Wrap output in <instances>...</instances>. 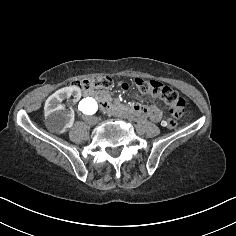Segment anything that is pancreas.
Segmentation results:
<instances>
[{
	"label": "pancreas",
	"instance_id": "1",
	"mask_svg": "<svg viewBox=\"0 0 236 236\" xmlns=\"http://www.w3.org/2000/svg\"><path fill=\"white\" fill-rule=\"evenodd\" d=\"M101 97H102V99H109L111 97V95H110L109 91L105 90V91H103Z\"/></svg>",
	"mask_w": 236,
	"mask_h": 236
}]
</instances>
